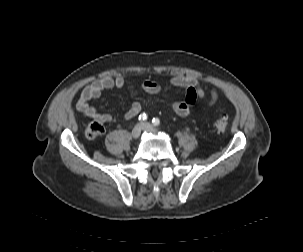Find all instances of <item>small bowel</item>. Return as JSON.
<instances>
[{
    "label": "small bowel",
    "mask_w": 303,
    "mask_h": 252,
    "mask_svg": "<svg viewBox=\"0 0 303 252\" xmlns=\"http://www.w3.org/2000/svg\"><path fill=\"white\" fill-rule=\"evenodd\" d=\"M170 83L174 88L184 89L186 91V99L184 101H174L171 104L173 112L180 116L186 117L191 113L192 106L200 98L204 97V91L198 82L189 77L173 74L170 77ZM125 85V79L122 76L103 77L96 79L85 86L79 94L76 104L77 110L83 115L101 123H108L112 120V116L108 113H100L91 104L90 100L98 98L104 91L117 89L120 90ZM141 89L151 94L161 92L162 86L154 80H145L141 84ZM219 95L216 91L210 94V105L217 103ZM142 104L134 101L124 114V120L129 121L136 117L142 111Z\"/></svg>",
    "instance_id": "obj_1"
}]
</instances>
